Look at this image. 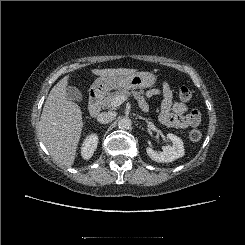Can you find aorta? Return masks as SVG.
<instances>
[{"instance_id":"762f6f07","label":"aorta","mask_w":245,"mask_h":245,"mask_svg":"<svg viewBox=\"0 0 245 245\" xmlns=\"http://www.w3.org/2000/svg\"><path fill=\"white\" fill-rule=\"evenodd\" d=\"M132 125V121L129 117H123L118 121V127L121 130H128Z\"/></svg>"}]
</instances>
